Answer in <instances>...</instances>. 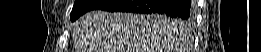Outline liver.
<instances>
[{"mask_svg":"<svg viewBox=\"0 0 261 52\" xmlns=\"http://www.w3.org/2000/svg\"><path fill=\"white\" fill-rule=\"evenodd\" d=\"M162 17L101 10L86 13L75 26L79 52H175L185 26Z\"/></svg>","mask_w":261,"mask_h":52,"instance_id":"liver-1","label":"liver"}]
</instances>
